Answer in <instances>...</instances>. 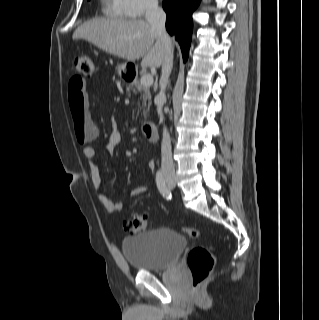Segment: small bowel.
<instances>
[{
	"label": "small bowel",
	"mask_w": 319,
	"mask_h": 320,
	"mask_svg": "<svg viewBox=\"0 0 319 320\" xmlns=\"http://www.w3.org/2000/svg\"><path fill=\"white\" fill-rule=\"evenodd\" d=\"M69 93L68 100L69 106L72 116L77 113H82L87 119L88 123L91 125L95 132V137L99 135V128L96 124L91 120L89 111H88V96L86 92V83L83 79L78 77H73L69 81ZM121 134L119 131L112 129L108 135L106 147L109 151H113L117 145L120 143ZM84 157L90 161L89 166V176L90 181L94 189L98 193V199L103 205L104 209L109 213L119 212L123 209L122 202L113 201L108 195L103 191V182L102 177L99 171L98 166L94 163L95 159V150L92 146H86L83 149ZM148 168H154V162L149 161L147 163ZM147 191V187L142 185L138 187H134L128 191L129 197L139 196Z\"/></svg>",
	"instance_id": "c3829d8e"
}]
</instances>
